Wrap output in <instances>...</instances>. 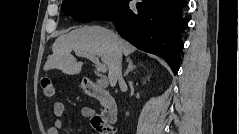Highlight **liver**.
<instances>
[{
	"label": "liver",
	"instance_id": "liver-1",
	"mask_svg": "<svg viewBox=\"0 0 239 134\" xmlns=\"http://www.w3.org/2000/svg\"><path fill=\"white\" fill-rule=\"evenodd\" d=\"M72 50L97 55L109 69L110 85H116L115 72L117 52L129 56L136 48L113 31L101 26H83L59 36L52 45V55L47 59L44 70L59 69L65 74H78L83 62L71 55Z\"/></svg>",
	"mask_w": 239,
	"mask_h": 134
}]
</instances>
